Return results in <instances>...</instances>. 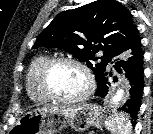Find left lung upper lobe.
<instances>
[{
  "label": "left lung upper lobe",
  "mask_w": 153,
  "mask_h": 134,
  "mask_svg": "<svg viewBox=\"0 0 153 134\" xmlns=\"http://www.w3.org/2000/svg\"><path fill=\"white\" fill-rule=\"evenodd\" d=\"M140 44L137 28L129 10L116 0H97L76 9L59 13L38 36L33 48L63 49L86 62L97 82L108 62ZM102 50L99 64L95 54Z\"/></svg>",
  "instance_id": "5c2ea615"
}]
</instances>
